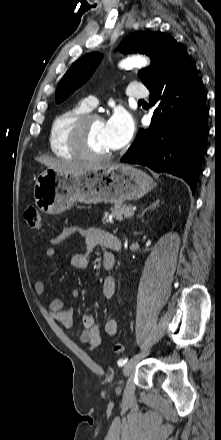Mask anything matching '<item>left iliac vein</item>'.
I'll list each match as a JSON object with an SVG mask.
<instances>
[{"label":"left iliac vein","instance_id":"obj_1","mask_svg":"<svg viewBox=\"0 0 221 440\" xmlns=\"http://www.w3.org/2000/svg\"><path fill=\"white\" fill-rule=\"evenodd\" d=\"M134 366H135V361L132 360V361L128 362L126 364V366L123 368V375L126 377L129 376L132 373ZM119 391L120 390L118 389L117 392H119Z\"/></svg>","mask_w":221,"mask_h":440}]
</instances>
